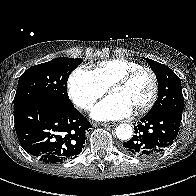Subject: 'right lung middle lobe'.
Wrapping results in <instances>:
<instances>
[{
  "label": "right lung middle lobe",
  "mask_w": 196,
  "mask_h": 196,
  "mask_svg": "<svg viewBox=\"0 0 196 196\" xmlns=\"http://www.w3.org/2000/svg\"><path fill=\"white\" fill-rule=\"evenodd\" d=\"M82 62L61 57L27 69L18 81L14 106L35 98H49L73 106L66 84L71 72Z\"/></svg>",
  "instance_id": "right-lung-middle-lobe-1"
}]
</instances>
